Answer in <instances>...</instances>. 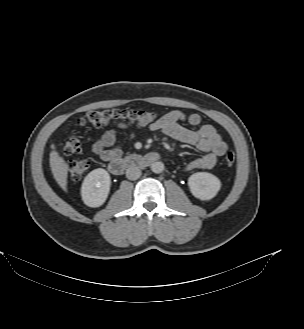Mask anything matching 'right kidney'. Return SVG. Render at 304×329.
<instances>
[{"mask_svg": "<svg viewBox=\"0 0 304 329\" xmlns=\"http://www.w3.org/2000/svg\"><path fill=\"white\" fill-rule=\"evenodd\" d=\"M110 175L102 168L94 169L84 179L81 187L83 202L89 207H99L110 191Z\"/></svg>", "mask_w": 304, "mask_h": 329, "instance_id": "ca27d5eb", "label": "right kidney"}]
</instances>
